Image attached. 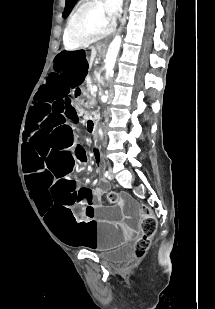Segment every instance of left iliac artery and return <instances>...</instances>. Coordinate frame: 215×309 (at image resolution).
Returning a JSON list of instances; mask_svg holds the SVG:
<instances>
[{
    "label": "left iliac artery",
    "instance_id": "1",
    "mask_svg": "<svg viewBox=\"0 0 215 309\" xmlns=\"http://www.w3.org/2000/svg\"><path fill=\"white\" fill-rule=\"evenodd\" d=\"M105 177L110 178V177H109V173H108V171H106V172H105Z\"/></svg>",
    "mask_w": 215,
    "mask_h": 309
}]
</instances>
